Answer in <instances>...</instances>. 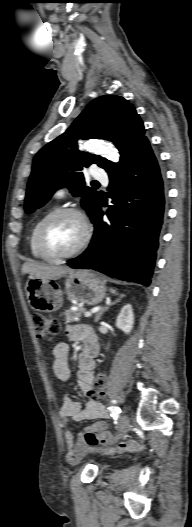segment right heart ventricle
Returning a JSON list of instances; mask_svg holds the SVG:
<instances>
[{
    "mask_svg": "<svg viewBox=\"0 0 192 527\" xmlns=\"http://www.w3.org/2000/svg\"><path fill=\"white\" fill-rule=\"evenodd\" d=\"M54 209L52 207L44 210L42 213H40L35 221L33 222L30 232H29V238H28V245L30 252L33 257L37 259H45L40 252L38 251L37 245H36V233L38 230L39 225L41 222L48 216Z\"/></svg>",
    "mask_w": 192,
    "mask_h": 527,
    "instance_id": "right-heart-ventricle-1",
    "label": "right heart ventricle"
}]
</instances>
